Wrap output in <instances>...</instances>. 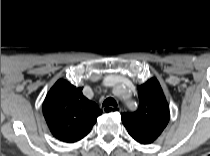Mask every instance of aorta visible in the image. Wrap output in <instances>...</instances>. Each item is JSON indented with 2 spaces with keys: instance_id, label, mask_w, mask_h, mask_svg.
I'll use <instances>...</instances> for the list:
<instances>
[{
  "instance_id": "obj_1",
  "label": "aorta",
  "mask_w": 210,
  "mask_h": 156,
  "mask_svg": "<svg viewBox=\"0 0 210 156\" xmlns=\"http://www.w3.org/2000/svg\"><path fill=\"white\" fill-rule=\"evenodd\" d=\"M124 92H125L124 86L120 85V86L117 87V94L119 96H122L124 94Z\"/></svg>"
}]
</instances>
